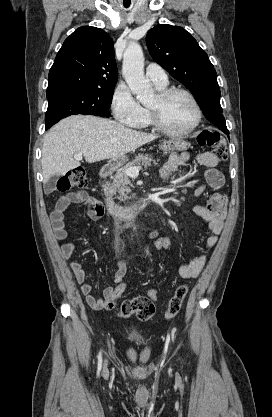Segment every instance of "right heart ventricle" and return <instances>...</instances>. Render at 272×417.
<instances>
[{
	"label": "right heart ventricle",
	"instance_id": "obj_1",
	"mask_svg": "<svg viewBox=\"0 0 272 417\" xmlns=\"http://www.w3.org/2000/svg\"><path fill=\"white\" fill-rule=\"evenodd\" d=\"M156 88L158 90H163V89L166 88V86H164V87L156 86ZM151 125L152 124L150 122L148 109L143 108L142 118L135 125H133L132 127L137 128V129H146V128L151 127Z\"/></svg>",
	"mask_w": 272,
	"mask_h": 417
}]
</instances>
